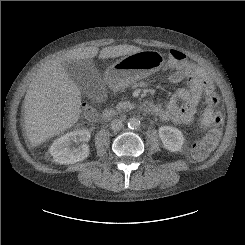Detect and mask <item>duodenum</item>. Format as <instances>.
Segmentation results:
<instances>
[{"instance_id": "1", "label": "duodenum", "mask_w": 245, "mask_h": 245, "mask_svg": "<svg viewBox=\"0 0 245 245\" xmlns=\"http://www.w3.org/2000/svg\"><path fill=\"white\" fill-rule=\"evenodd\" d=\"M114 83H115V80L108 81L109 85H113ZM145 107L148 111H151L155 109L156 105L152 101H147L145 103ZM118 116H119V112L114 109H105L102 114V118L104 120H112V119L118 118Z\"/></svg>"}]
</instances>
